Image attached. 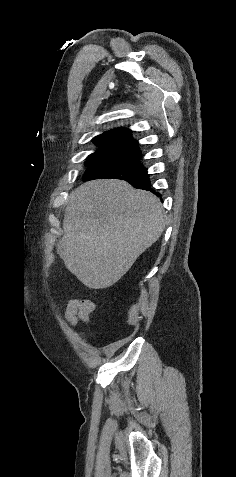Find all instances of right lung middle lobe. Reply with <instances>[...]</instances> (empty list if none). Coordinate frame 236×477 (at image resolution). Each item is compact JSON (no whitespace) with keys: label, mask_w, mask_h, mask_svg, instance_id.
<instances>
[{"label":"right lung middle lobe","mask_w":236,"mask_h":477,"mask_svg":"<svg viewBox=\"0 0 236 477\" xmlns=\"http://www.w3.org/2000/svg\"><path fill=\"white\" fill-rule=\"evenodd\" d=\"M139 157V156H138ZM135 157L132 161L138 162L137 158ZM87 166V170L83 174V180H92V179H99L104 178L106 176L112 175L124 168L125 165L112 163L108 161L102 160H90L85 163Z\"/></svg>","instance_id":"right-lung-middle-lobe-1"}]
</instances>
